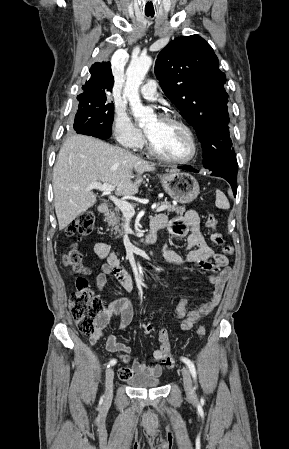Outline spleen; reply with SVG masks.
I'll return each instance as SVG.
<instances>
[{
	"instance_id": "1",
	"label": "spleen",
	"mask_w": 289,
	"mask_h": 449,
	"mask_svg": "<svg viewBox=\"0 0 289 449\" xmlns=\"http://www.w3.org/2000/svg\"><path fill=\"white\" fill-rule=\"evenodd\" d=\"M215 204L220 209H229V207H230V204L228 202L227 197L220 190H216V202H215Z\"/></svg>"
}]
</instances>
